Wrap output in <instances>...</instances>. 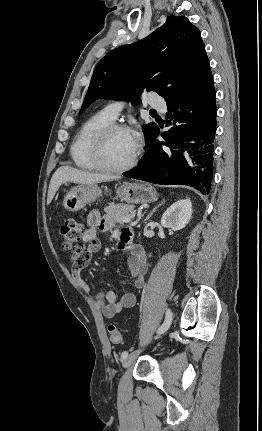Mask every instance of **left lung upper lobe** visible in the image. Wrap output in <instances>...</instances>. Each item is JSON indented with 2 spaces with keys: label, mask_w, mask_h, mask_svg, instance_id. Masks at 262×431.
<instances>
[{
  "label": "left lung upper lobe",
  "mask_w": 262,
  "mask_h": 431,
  "mask_svg": "<svg viewBox=\"0 0 262 431\" xmlns=\"http://www.w3.org/2000/svg\"><path fill=\"white\" fill-rule=\"evenodd\" d=\"M212 77L198 28L186 17L170 16L143 40L118 47L97 64L80 113L99 98L139 101L144 90L166 101L180 99ZM157 125L143 126L146 143Z\"/></svg>",
  "instance_id": "left-lung-upper-lobe-1"
}]
</instances>
